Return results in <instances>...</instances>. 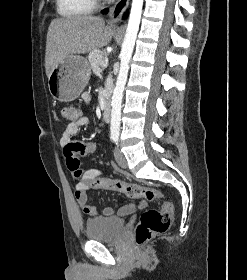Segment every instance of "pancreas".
<instances>
[{
    "instance_id": "obj_1",
    "label": "pancreas",
    "mask_w": 247,
    "mask_h": 280,
    "mask_svg": "<svg viewBox=\"0 0 247 280\" xmlns=\"http://www.w3.org/2000/svg\"><path fill=\"white\" fill-rule=\"evenodd\" d=\"M88 59H89L91 68L95 73H99L100 67H103L102 63L106 62L105 53L99 49H95V50L91 51L88 55ZM109 79H110V77H109Z\"/></svg>"
}]
</instances>
